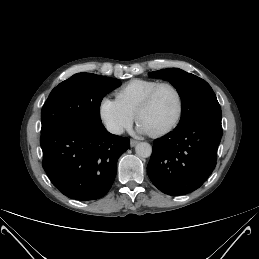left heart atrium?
Wrapping results in <instances>:
<instances>
[{"instance_id": "left-heart-atrium-1", "label": "left heart atrium", "mask_w": 259, "mask_h": 259, "mask_svg": "<svg viewBox=\"0 0 259 259\" xmlns=\"http://www.w3.org/2000/svg\"><path fill=\"white\" fill-rule=\"evenodd\" d=\"M139 130L141 131V132H143V133H149V131L147 130V128L145 127V126H143V125H139Z\"/></svg>"}]
</instances>
